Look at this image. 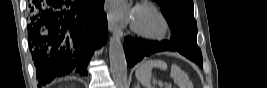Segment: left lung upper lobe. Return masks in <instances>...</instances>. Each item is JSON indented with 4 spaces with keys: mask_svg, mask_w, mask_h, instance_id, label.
Masks as SVG:
<instances>
[{
    "mask_svg": "<svg viewBox=\"0 0 267 88\" xmlns=\"http://www.w3.org/2000/svg\"><path fill=\"white\" fill-rule=\"evenodd\" d=\"M160 7L171 29L175 32L197 34L193 15V0H154Z\"/></svg>",
    "mask_w": 267,
    "mask_h": 88,
    "instance_id": "left-lung-upper-lobe-1",
    "label": "left lung upper lobe"
}]
</instances>
